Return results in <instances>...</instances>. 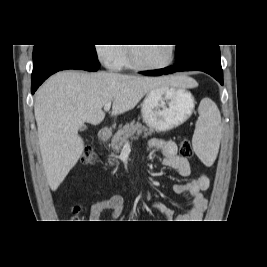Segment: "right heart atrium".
I'll return each instance as SVG.
<instances>
[{"label": "right heart atrium", "mask_w": 267, "mask_h": 267, "mask_svg": "<svg viewBox=\"0 0 267 267\" xmlns=\"http://www.w3.org/2000/svg\"><path fill=\"white\" fill-rule=\"evenodd\" d=\"M97 58L109 69H117L123 49L118 45L99 44L95 46Z\"/></svg>", "instance_id": "d8ad5b80"}]
</instances>
